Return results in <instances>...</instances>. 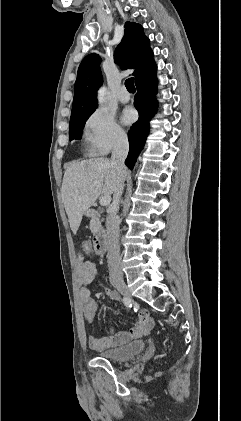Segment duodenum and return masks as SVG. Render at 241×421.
<instances>
[{"label": "duodenum", "mask_w": 241, "mask_h": 421, "mask_svg": "<svg viewBox=\"0 0 241 421\" xmlns=\"http://www.w3.org/2000/svg\"><path fill=\"white\" fill-rule=\"evenodd\" d=\"M87 217H96L97 212L95 210H88L86 211ZM93 247L96 249V254L102 255L107 251L108 248V240L107 235L103 230H98L94 237H93Z\"/></svg>", "instance_id": "obj_1"}]
</instances>
